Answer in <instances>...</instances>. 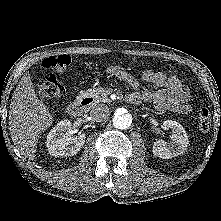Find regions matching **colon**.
Wrapping results in <instances>:
<instances>
[{"label":"colon","instance_id":"obj_1","mask_svg":"<svg viewBox=\"0 0 221 221\" xmlns=\"http://www.w3.org/2000/svg\"><path fill=\"white\" fill-rule=\"evenodd\" d=\"M71 63L68 55L50 56L43 60L45 69L56 73H63ZM37 91L41 98L58 100L63 97L64 87L53 74L41 76L36 81ZM198 126L202 132H209L212 126L211 113L207 108H201L198 112Z\"/></svg>","mask_w":221,"mask_h":221}]
</instances>
